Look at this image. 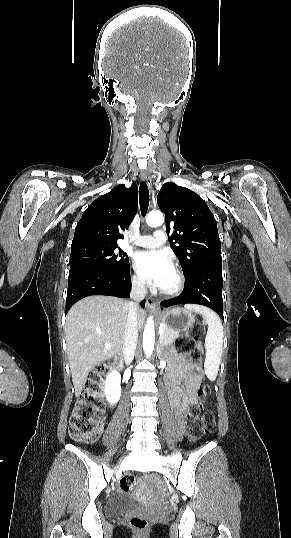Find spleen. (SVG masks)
Here are the masks:
<instances>
[{
  "label": "spleen",
  "mask_w": 291,
  "mask_h": 538,
  "mask_svg": "<svg viewBox=\"0 0 291 538\" xmlns=\"http://www.w3.org/2000/svg\"><path fill=\"white\" fill-rule=\"evenodd\" d=\"M185 308L201 314L208 324L205 337L206 358L204 367L207 377L214 381L218 375L223 350V327L221 321L212 310L205 306L187 304Z\"/></svg>",
  "instance_id": "1"
}]
</instances>
